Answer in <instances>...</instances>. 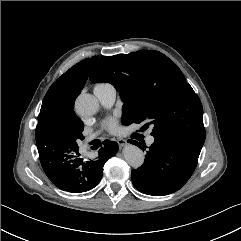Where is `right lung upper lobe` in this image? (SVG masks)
Masks as SVG:
<instances>
[{"label":"right lung upper lobe","mask_w":241,"mask_h":241,"mask_svg":"<svg viewBox=\"0 0 241 241\" xmlns=\"http://www.w3.org/2000/svg\"><path fill=\"white\" fill-rule=\"evenodd\" d=\"M97 59L98 57L94 56L82 60L51 85L44 97L38 116L36 141L37 139H48L55 129L54 119L57 115L65 112L75 114L73 111L75 98L83 89L91 68Z\"/></svg>","instance_id":"1"}]
</instances>
